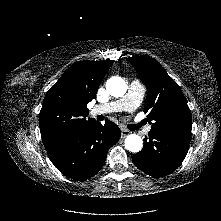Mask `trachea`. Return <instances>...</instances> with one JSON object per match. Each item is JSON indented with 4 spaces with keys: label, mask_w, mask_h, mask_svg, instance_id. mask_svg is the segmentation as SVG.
<instances>
[{
    "label": "trachea",
    "mask_w": 221,
    "mask_h": 221,
    "mask_svg": "<svg viewBox=\"0 0 221 221\" xmlns=\"http://www.w3.org/2000/svg\"><path fill=\"white\" fill-rule=\"evenodd\" d=\"M143 124H144V123L141 122L140 124H136V125L131 124V125H129L128 127H129L130 130H137V129L140 128V125H143Z\"/></svg>",
    "instance_id": "3493384b"
}]
</instances>
